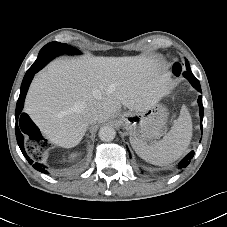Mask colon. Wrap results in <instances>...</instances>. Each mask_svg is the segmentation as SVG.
Instances as JSON below:
<instances>
[{
    "label": "colon",
    "mask_w": 227,
    "mask_h": 227,
    "mask_svg": "<svg viewBox=\"0 0 227 227\" xmlns=\"http://www.w3.org/2000/svg\"><path fill=\"white\" fill-rule=\"evenodd\" d=\"M172 71H173L174 75H176V76L179 75L180 74V66H179V64L173 65ZM34 141L40 143L43 148H46L47 145H48L47 141L45 139H43L42 137H38ZM28 148H29L30 152H34L35 151V149H34V147L32 145H30Z\"/></svg>",
    "instance_id": "obj_1"
}]
</instances>
